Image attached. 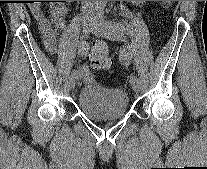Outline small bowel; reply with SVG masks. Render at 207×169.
I'll return each instance as SVG.
<instances>
[{
	"label": "small bowel",
	"instance_id": "c3829d8e",
	"mask_svg": "<svg viewBox=\"0 0 207 169\" xmlns=\"http://www.w3.org/2000/svg\"><path fill=\"white\" fill-rule=\"evenodd\" d=\"M71 2V1H67ZM145 2V1H139ZM66 7L63 3H58L51 9V16L48 17L40 8H32V13L37 22L38 31L43 43V46L49 54H55L59 42V32L64 26V18L66 14ZM80 78L89 80L91 73L88 66L84 65L77 70Z\"/></svg>",
	"mask_w": 207,
	"mask_h": 169
}]
</instances>
